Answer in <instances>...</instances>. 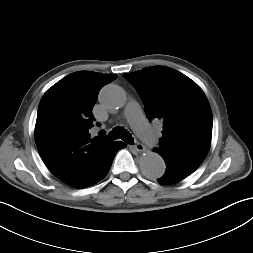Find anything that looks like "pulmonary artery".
<instances>
[{"instance_id":"e3ab8cb5","label":"pulmonary artery","mask_w":253,"mask_h":253,"mask_svg":"<svg viewBox=\"0 0 253 253\" xmlns=\"http://www.w3.org/2000/svg\"><path fill=\"white\" fill-rule=\"evenodd\" d=\"M125 114L133 125L139 122L141 123L143 121L142 112L140 106L137 103H129L126 107ZM143 129L145 131V134L142 136L143 139L149 144H155L157 142L156 133L145 124H143Z\"/></svg>"}]
</instances>
